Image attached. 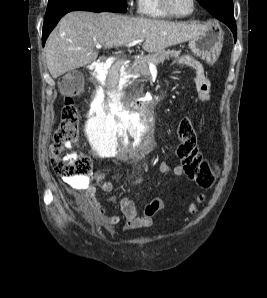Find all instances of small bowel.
Listing matches in <instances>:
<instances>
[{"label": "small bowel", "mask_w": 267, "mask_h": 298, "mask_svg": "<svg viewBox=\"0 0 267 298\" xmlns=\"http://www.w3.org/2000/svg\"><path fill=\"white\" fill-rule=\"evenodd\" d=\"M177 63L192 70L197 98L202 102L210 101L212 99L211 83L206 76L202 65L196 59L188 55L180 57L177 60ZM157 171L163 174L172 173L177 176H181L184 173V169L181 165L172 167L165 162L159 164ZM96 179L103 192L109 193L112 191L113 185L106 179L105 171L99 170L96 173ZM142 181L143 179L141 177H137L132 181V184H140ZM69 194L75 199L81 209L85 212L87 218L93 223L105 227H112L120 222L119 216L109 215L106 209L97 201L95 197V187H87L83 195L75 192H69ZM164 205L165 203L163 199L155 197L149 201L143 214L140 215L135 202L128 197H123L120 200V209L125 219V229L135 230L151 227L157 214L163 210Z\"/></svg>", "instance_id": "obj_1"}]
</instances>
